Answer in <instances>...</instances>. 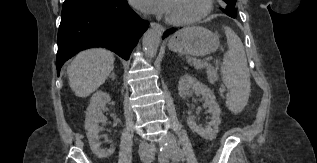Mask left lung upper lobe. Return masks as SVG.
<instances>
[{
	"label": "left lung upper lobe",
	"instance_id": "1",
	"mask_svg": "<svg viewBox=\"0 0 317 163\" xmlns=\"http://www.w3.org/2000/svg\"><path fill=\"white\" fill-rule=\"evenodd\" d=\"M227 6L222 8V11L225 12L227 15L235 18L236 17V9H235V2L236 0H223Z\"/></svg>",
	"mask_w": 317,
	"mask_h": 163
}]
</instances>
